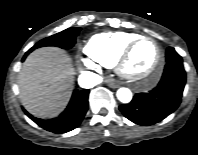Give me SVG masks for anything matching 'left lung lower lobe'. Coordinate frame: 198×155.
<instances>
[{
	"label": "left lung lower lobe",
	"instance_id": "1",
	"mask_svg": "<svg viewBox=\"0 0 198 155\" xmlns=\"http://www.w3.org/2000/svg\"><path fill=\"white\" fill-rule=\"evenodd\" d=\"M185 82L183 63H167L157 88L149 93L136 94L129 104L120 105L119 109L127 119L136 124L153 125L178 108Z\"/></svg>",
	"mask_w": 198,
	"mask_h": 155
}]
</instances>
